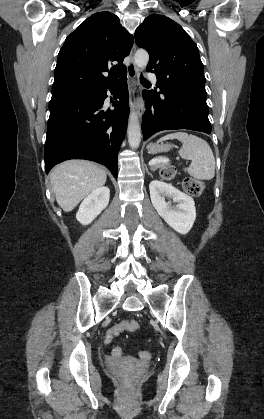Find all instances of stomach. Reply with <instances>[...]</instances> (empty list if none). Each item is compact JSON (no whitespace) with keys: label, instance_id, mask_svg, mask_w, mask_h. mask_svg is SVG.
<instances>
[{"label":"stomach","instance_id":"stomach-1","mask_svg":"<svg viewBox=\"0 0 264 419\" xmlns=\"http://www.w3.org/2000/svg\"><path fill=\"white\" fill-rule=\"evenodd\" d=\"M172 147H173V145H171L169 143H161V144H153V143H150L147 146V149H148V152L149 153L156 154V153H160V152H167Z\"/></svg>","mask_w":264,"mask_h":419}]
</instances>
